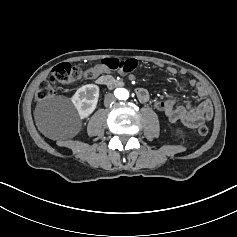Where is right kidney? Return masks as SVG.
Masks as SVG:
<instances>
[{
    "label": "right kidney",
    "mask_w": 237,
    "mask_h": 237,
    "mask_svg": "<svg viewBox=\"0 0 237 237\" xmlns=\"http://www.w3.org/2000/svg\"><path fill=\"white\" fill-rule=\"evenodd\" d=\"M99 100V87L96 84H85L77 89L71 97L81 120L87 119L96 109Z\"/></svg>",
    "instance_id": "right-kidney-1"
}]
</instances>
